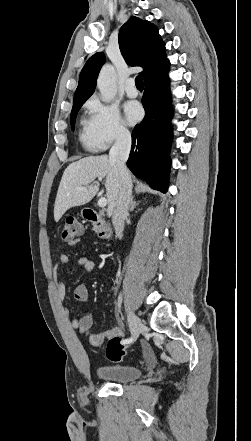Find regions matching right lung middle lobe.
I'll list each match as a JSON object with an SVG mask.
<instances>
[{
  "instance_id": "obj_1",
  "label": "right lung middle lobe",
  "mask_w": 251,
  "mask_h": 441,
  "mask_svg": "<svg viewBox=\"0 0 251 441\" xmlns=\"http://www.w3.org/2000/svg\"><path fill=\"white\" fill-rule=\"evenodd\" d=\"M85 101H86V99L78 100V101H74L73 102V107H72V112H71V126H72V129L75 128V120H76L77 113H78L79 109L81 108V106L84 104Z\"/></svg>"
}]
</instances>
